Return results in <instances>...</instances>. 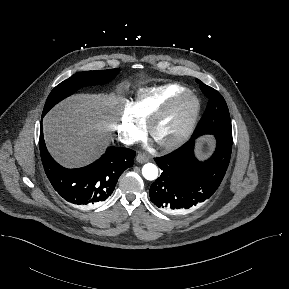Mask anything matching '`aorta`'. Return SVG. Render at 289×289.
Segmentation results:
<instances>
[{
	"mask_svg": "<svg viewBox=\"0 0 289 289\" xmlns=\"http://www.w3.org/2000/svg\"><path fill=\"white\" fill-rule=\"evenodd\" d=\"M142 174L146 180H155L158 177V168L152 163H147L142 168Z\"/></svg>",
	"mask_w": 289,
	"mask_h": 289,
	"instance_id": "obj_1",
	"label": "aorta"
}]
</instances>
